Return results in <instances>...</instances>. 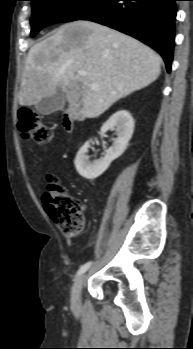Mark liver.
<instances>
[{"label":"liver","mask_w":193,"mask_h":349,"mask_svg":"<svg viewBox=\"0 0 193 349\" xmlns=\"http://www.w3.org/2000/svg\"><path fill=\"white\" fill-rule=\"evenodd\" d=\"M161 61L152 49L116 30L90 21L66 23L29 50L19 104L34 105L61 89L70 119L96 118L154 82ZM92 83L98 88L91 89Z\"/></svg>","instance_id":"liver-1"}]
</instances>
